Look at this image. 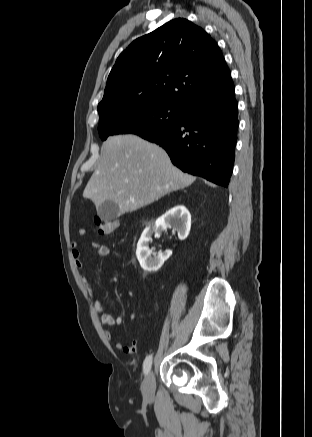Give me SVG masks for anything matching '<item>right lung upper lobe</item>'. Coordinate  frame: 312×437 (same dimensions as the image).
<instances>
[{"label":"right lung upper lobe","mask_w":312,"mask_h":437,"mask_svg":"<svg viewBox=\"0 0 312 437\" xmlns=\"http://www.w3.org/2000/svg\"><path fill=\"white\" fill-rule=\"evenodd\" d=\"M229 80L216 42L192 22L174 19L133 41L118 57L98 105L99 118L134 103L184 108Z\"/></svg>","instance_id":"right-lung-upper-lobe-1"}]
</instances>
